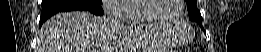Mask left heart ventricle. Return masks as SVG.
I'll list each match as a JSON object with an SVG mask.
<instances>
[{
  "instance_id": "1",
  "label": "left heart ventricle",
  "mask_w": 261,
  "mask_h": 52,
  "mask_svg": "<svg viewBox=\"0 0 261 52\" xmlns=\"http://www.w3.org/2000/svg\"><path fill=\"white\" fill-rule=\"evenodd\" d=\"M146 12L152 16L161 19H173L179 12L177 0H156L149 2L146 7Z\"/></svg>"
}]
</instances>
